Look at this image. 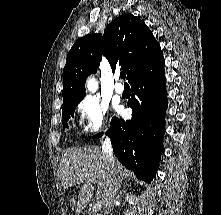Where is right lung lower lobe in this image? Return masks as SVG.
Instances as JSON below:
<instances>
[{
    "instance_id": "98d812e1",
    "label": "right lung lower lobe",
    "mask_w": 221,
    "mask_h": 215,
    "mask_svg": "<svg viewBox=\"0 0 221 215\" xmlns=\"http://www.w3.org/2000/svg\"><path fill=\"white\" fill-rule=\"evenodd\" d=\"M133 110L131 120L111 121L106 135L120 162L150 183L156 176L160 155L164 151V117L167 105L164 58L136 75L130 82ZM99 133L93 138H99Z\"/></svg>"
}]
</instances>
